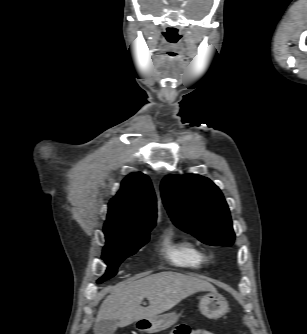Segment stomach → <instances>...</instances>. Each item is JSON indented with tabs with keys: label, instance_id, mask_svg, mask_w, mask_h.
Masks as SVG:
<instances>
[{
	"label": "stomach",
	"instance_id": "stomach-1",
	"mask_svg": "<svg viewBox=\"0 0 307 334\" xmlns=\"http://www.w3.org/2000/svg\"><path fill=\"white\" fill-rule=\"evenodd\" d=\"M227 300L217 292H210L203 295L199 302V310L209 319H218L228 312ZM179 319V314L169 312L159 314L152 318L140 319L136 323L139 330L156 333L174 325Z\"/></svg>",
	"mask_w": 307,
	"mask_h": 334
}]
</instances>
